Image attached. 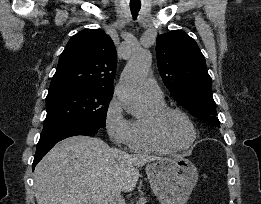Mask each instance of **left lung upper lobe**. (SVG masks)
Returning <instances> with one entry per match:
<instances>
[{
	"mask_svg": "<svg viewBox=\"0 0 261 204\" xmlns=\"http://www.w3.org/2000/svg\"><path fill=\"white\" fill-rule=\"evenodd\" d=\"M159 73L176 102L194 117L220 126L212 96V79L197 43L181 30L156 39Z\"/></svg>",
	"mask_w": 261,
	"mask_h": 204,
	"instance_id": "1",
	"label": "left lung upper lobe"
}]
</instances>
